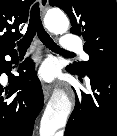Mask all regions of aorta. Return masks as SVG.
I'll return each instance as SVG.
<instances>
[{
  "mask_svg": "<svg viewBox=\"0 0 117 136\" xmlns=\"http://www.w3.org/2000/svg\"><path fill=\"white\" fill-rule=\"evenodd\" d=\"M46 26L54 34H63L69 28L68 18L58 10H51L46 15ZM72 111V103L68 95L56 90L49 100L40 123V136H56Z\"/></svg>",
  "mask_w": 117,
  "mask_h": 136,
  "instance_id": "obj_1",
  "label": "aorta"
}]
</instances>
